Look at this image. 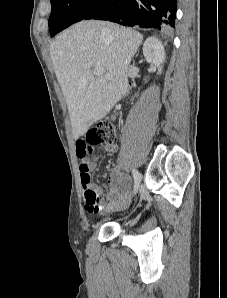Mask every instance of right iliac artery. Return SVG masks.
I'll return each instance as SVG.
<instances>
[{
    "instance_id": "right-iliac-artery-1",
    "label": "right iliac artery",
    "mask_w": 227,
    "mask_h": 298,
    "mask_svg": "<svg viewBox=\"0 0 227 298\" xmlns=\"http://www.w3.org/2000/svg\"><path fill=\"white\" fill-rule=\"evenodd\" d=\"M132 174H133V177H134V193H136L138 191V188H139V185H140V182H141V175L135 169L132 170Z\"/></svg>"
}]
</instances>
